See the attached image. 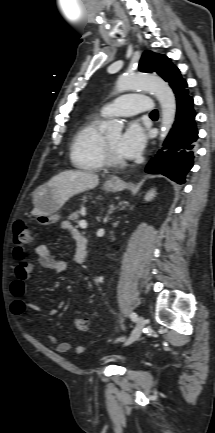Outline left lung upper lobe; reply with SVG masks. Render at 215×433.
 Instances as JSON below:
<instances>
[{
	"instance_id": "1",
	"label": "left lung upper lobe",
	"mask_w": 215,
	"mask_h": 433,
	"mask_svg": "<svg viewBox=\"0 0 215 433\" xmlns=\"http://www.w3.org/2000/svg\"><path fill=\"white\" fill-rule=\"evenodd\" d=\"M139 69L142 72H156L169 84L181 78L179 69L173 65L170 59L161 54H156L151 51H145L139 63Z\"/></svg>"
}]
</instances>
